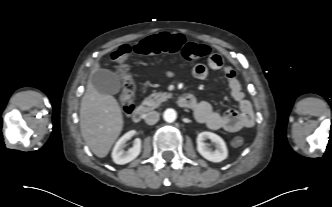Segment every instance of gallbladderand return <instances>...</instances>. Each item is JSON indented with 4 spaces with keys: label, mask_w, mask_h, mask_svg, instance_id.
<instances>
[{
    "label": "gallbladder",
    "mask_w": 332,
    "mask_h": 207,
    "mask_svg": "<svg viewBox=\"0 0 332 207\" xmlns=\"http://www.w3.org/2000/svg\"><path fill=\"white\" fill-rule=\"evenodd\" d=\"M95 89L102 94H117L121 89L118 76L107 69H98L91 75Z\"/></svg>",
    "instance_id": "obj_1"
}]
</instances>
